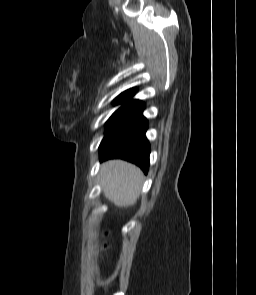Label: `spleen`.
<instances>
[{
    "label": "spleen",
    "mask_w": 256,
    "mask_h": 295,
    "mask_svg": "<svg viewBox=\"0 0 256 295\" xmlns=\"http://www.w3.org/2000/svg\"><path fill=\"white\" fill-rule=\"evenodd\" d=\"M143 174L134 165L115 160L107 162L101 170L104 194L119 207H127L136 203Z\"/></svg>",
    "instance_id": "spleen-1"
}]
</instances>
